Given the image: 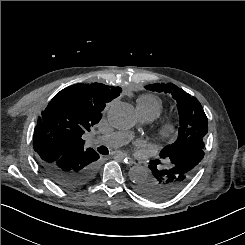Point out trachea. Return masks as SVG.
Instances as JSON below:
<instances>
[{
  "instance_id": "trachea-1",
  "label": "trachea",
  "mask_w": 245,
  "mask_h": 245,
  "mask_svg": "<svg viewBox=\"0 0 245 245\" xmlns=\"http://www.w3.org/2000/svg\"><path fill=\"white\" fill-rule=\"evenodd\" d=\"M98 151H99L101 154H107V153H108L107 148L104 147V146H100V147L98 148Z\"/></svg>"
}]
</instances>
